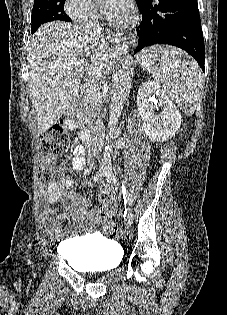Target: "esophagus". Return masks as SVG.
<instances>
[{
    "label": "esophagus",
    "mask_w": 227,
    "mask_h": 315,
    "mask_svg": "<svg viewBox=\"0 0 227 315\" xmlns=\"http://www.w3.org/2000/svg\"><path fill=\"white\" fill-rule=\"evenodd\" d=\"M109 37L111 38V40L113 42H115L116 44L120 45L121 38H120L119 34L112 33L111 35L109 34Z\"/></svg>",
    "instance_id": "1"
}]
</instances>
